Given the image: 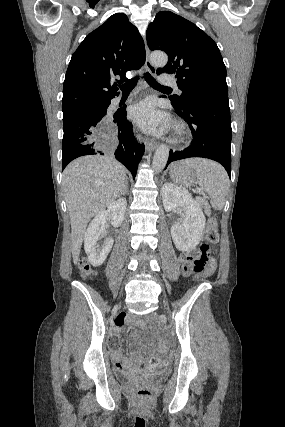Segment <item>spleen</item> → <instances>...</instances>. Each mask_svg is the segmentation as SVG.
<instances>
[{
	"mask_svg": "<svg viewBox=\"0 0 285 427\" xmlns=\"http://www.w3.org/2000/svg\"><path fill=\"white\" fill-rule=\"evenodd\" d=\"M196 173L199 186L211 198L215 210H222L229 189V178L225 169L218 163L205 159H187L181 161Z\"/></svg>",
	"mask_w": 285,
	"mask_h": 427,
	"instance_id": "obj_1",
	"label": "spleen"
}]
</instances>
